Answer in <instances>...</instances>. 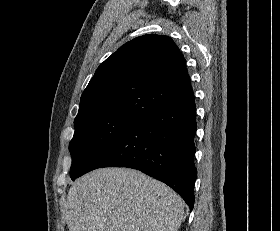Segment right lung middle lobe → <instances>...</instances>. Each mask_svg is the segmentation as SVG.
<instances>
[{"instance_id":"1","label":"right lung middle lobe","mask_w":280,"mask_h":231,"mask_svg":"<svg viewBox=\"0 0 280 231\" xmlns=\"http://www.w3.org/2000/svg\"><path fill=\"white\" fill-rule=\"evenodd\" d=\"M139 121L128 117L75 120V133L69 144L71 179H75L104 149Z\"/></svg>"}]
</instances>
